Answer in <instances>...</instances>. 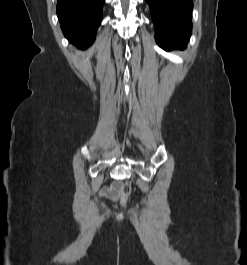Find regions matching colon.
I'll use <instances>...</instances> for the list:
<instances>
[{"label": "colon", "mask_w": 247, "mask_h": 265, "mask_svg": "<svg viewBox=\"0 0 247 265\" xmlns=\"http://www.w3.org/2000/svg\"><path fill=\"white\" fill-rule=\"evenodd\" d=\"M131 185L127 182L123 183L121 186V196H120V204H126L130 194H131Z\"/></svg>", "instance_id": "5ec220e1"}]
</instances>
